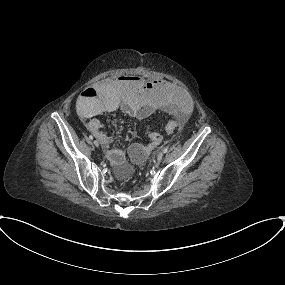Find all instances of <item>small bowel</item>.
<instances>
[{"label": "small bowel", "mask_w": 285, "mask_h": 285, "mask_svg": "<svg viewBox=\"0 0 285 285\" xmlns=\"http://www.w3.org/2000/svg\"><path fill=\"white\" fill-rule=\"evenodd\" d=\"M158 108L183 124L192 114L194 104L183 91L166 80L146 81L138 76L100 82L85 90L76 100V109L86 119V128L99 141L107 158L116 167L124 162L125 151L121 147H109L111 137L101 131V122L96 116L120 109L125 115L141 120ZM135 137L136 129L133 126L129 129L128 138Z\"/></svg>", "instance_id": "small-bowel-1"}]
</instances>
